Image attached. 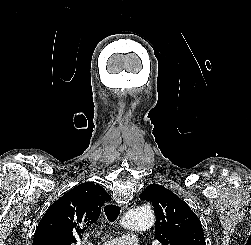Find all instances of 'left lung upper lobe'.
<instances>
[{
    "label": "left lung upper lobe",
    "instance_id": "1",
    "mask_svg": "<svg viewBox=\"0 0 251 245\" xmlns=\"http://www.w3.org/2000/svg\"><path fill=\"white\" fill-rule=\"evenodd\" d=\"M140 199L149 201L154 207L155 239L162 245H206L200 220L172 191L151 184Z\"/></svg>",
    "mask_w": 251,
    "mask_h": 245
}]
</instances>
